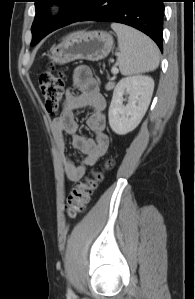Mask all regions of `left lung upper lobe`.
I'll return each instance as SVG.
<instances>
[{"label": "left lung upper lobe", "mask_w": 195, "mask_h": 299, "mask_svg": "<svg viewBox=\"0 0 195 299\" xmlns=\"http://www.w3.org/2000/svg\"><path fill=\"white\" fill-rule=\"evenodd\" d=\"M51 3L64 4L63 13L57 18L48 17L47 6ZM91 0H35L36 16L32 24V42L34 46L52 31L77 22L87 11Z\"/></svg>", "instance_id": "5c2ea615"}]
</instances>
